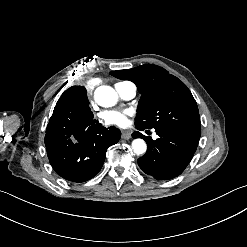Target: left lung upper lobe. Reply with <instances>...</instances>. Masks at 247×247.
<instances>
[{
	"mask_svg": "<svg viewBox=\"0 0 247 247\" xmlns=\"http://www.w3.org/2000/svg\"><path fill=\"white\" fill-rule=\"evenodd\" d=\"M110 74L134 82L142 95L135 118L136 128L175 130L200 139L197 103L187 86L177 77L153 64L112 71Z\"/></svg>",
	"mask_w": 247,
	"mask_h": 247,
	"instance_id": "left-lung-upper-lobe-1",
	"label": "left lung upper lobe"
}]
</instances>
